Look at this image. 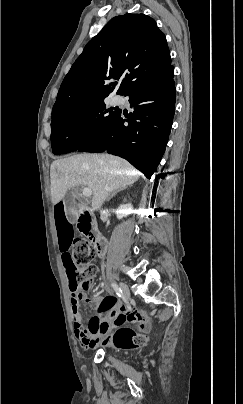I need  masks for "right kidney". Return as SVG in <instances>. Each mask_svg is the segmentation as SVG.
I'll return each instance as SVG.
<instances>
[{
    "label": "right kidney",
    "mask_w": 243,
    "mask_h": 404,
    "mask_svg": "<svg viewBox=\"0 0 243 404\" xmlns=\"http://www.w3.org/2000/svg\"><path fill=\"white\" fill-rule=\"evenodd\" d=\"M124 210H125V206H120L119 210H117L116 216H117L118 220H121V218H123V216H126Z\"/></svg>",
    "instance_id": "right-kidney-1"
}]
</instances>
